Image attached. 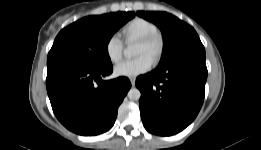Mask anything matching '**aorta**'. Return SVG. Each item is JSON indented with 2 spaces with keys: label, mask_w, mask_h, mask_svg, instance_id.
<instances>
[{
  "label": "aorta",
  "mask_w": 261,
  "mask_h": 150,
  "mask_svg": "<svg viewBox=\"0 0 261 150\" xmlns=\"http://www.w3.org/2000/svg\"><path fill=\"white\" fill-rule=\"evenodd\" d=\"M138 53V48L135 45H130L124 49V55L126 57H132ZM128 98L133 101H137L141 97V93L137 88H131L127 94Z\"/></svg>",
  "instance_id": "aorta-1"
}]
</instances>
